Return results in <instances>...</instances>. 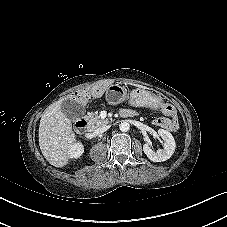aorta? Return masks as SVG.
Listing matches in <instances>:
<instances>
[{
  "label": "aorta",
  "instance_id": "1",
  "mask_svg": "<svg viewBox=\"0 0 227 227\" xmlns=\"http://www.w3.org/2000/svg\"><path fill=\"white\" fill-rule=\"evenodd\" d=\"M119 129L122 132H127L130 129V124L126 121H123L119 124Z\"/></svg>",
  "mask_w": 227,
  "mask_h": 227
}]
</instances>
